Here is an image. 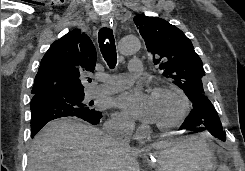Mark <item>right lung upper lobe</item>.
<instances>
[{"mask_svg":"<svg viewBox=\"0 0 245 171\" xmlns=\"http://www.w3.org/2000/svg\"><path fill=\"white\" fill-rule=\"evenodd\" d=\"M96 49L91 39L80 29L69 31L53 42L41 60L32 94L75 96L84 94L81 75L93 72Z\"/></svg>","mask_w":245,"mask_h":171,"instance_id":"obj_1","label":"right lung upper lobe"}]
</instances>
